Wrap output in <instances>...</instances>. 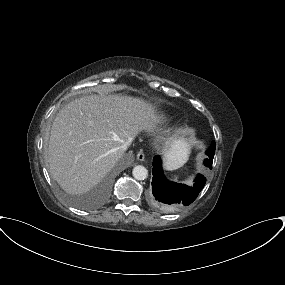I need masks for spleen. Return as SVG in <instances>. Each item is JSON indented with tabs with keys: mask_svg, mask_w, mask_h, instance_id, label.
Wrapping results in <instances>:
<instances>
[{
	"mask_svg": "<svg viewBox=\"0 0 285 285\" xmlns=\"http://www.w3.org/2000/svg\"><path fill=\"white\" fill-rule=\"evenodd\" d=\"M174 179H175V180H177V177H176V176H174Z\"/></svg>",
	"mask_w": 285,
	"mask_h": 285,
	"instance_id": "3e777b00",
	"label": "spleen"
}]
</instances>
